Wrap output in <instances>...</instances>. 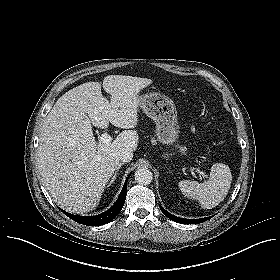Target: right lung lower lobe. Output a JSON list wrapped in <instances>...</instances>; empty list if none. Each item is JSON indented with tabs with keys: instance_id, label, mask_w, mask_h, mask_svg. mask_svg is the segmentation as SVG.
Instances as JSON below:
<instances>
[{
	"instance_id": "1",
	"label": "right lung lower lobe",
	"mask_w": 280,
	"mask_h": 280,
	"mask_svg": "<svg viewBox=\"0 0 280 280\" xmlns=\"http://www.w3.org/2000/svg\"><path fill=\"white\" fill-rule=\"evenodd\" d=\"M127 180H128V178L126 179L124 186L121 190V193H120L117 201L115 202L114 206L104 213H101L96 216H78V215H73V214L67 213L63 210H62V212L65 213L72 220H74L80 224H84V225H88V226L104 225L105 223L112 221L119 214L122 207L124 206L125 199H126V193H127Z\"/></svg>"
}]
</instances>
